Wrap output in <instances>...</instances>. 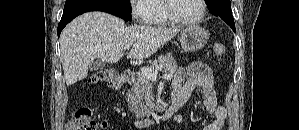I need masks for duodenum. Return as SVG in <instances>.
I'll use <instances>...</instances> for the list:
<instances>
[{
	"instance_id": "obj_1",
	"label": "duodenum",
	"mask_w": 299,
	"mask_h": 130,
	"mask_svg": "<svg viewBox=\"0 0 299 130\" xmlns=\"http://www.w3.org/2000/svg\"><path fill=\"white\" fill-rule=\"evenodd\" d=\"M124 77L127 83H133L135 80V74L133 70L126 69L124 71ZM187 101V96L173 95L170 104L164 108L157 116H149L142 118L138 121V124L142 127L152 126L159 122H166L172 118L176 110Z\"/></svg>"
}]
</instances>
